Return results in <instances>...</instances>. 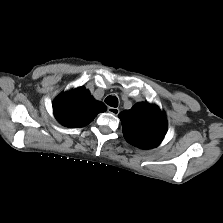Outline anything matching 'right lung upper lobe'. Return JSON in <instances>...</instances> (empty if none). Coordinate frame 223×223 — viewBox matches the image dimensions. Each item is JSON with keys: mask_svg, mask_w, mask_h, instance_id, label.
I'll use <instances>...</instances> for the list:
<instances>
[{"mask_svg": "<svg viewBox=\"0 0 223 223\" xmlns=\"http://www.w3.org/2000/svg\"><path fill=\"white\" fill-rule=\"evenodd\" d=\"M106 110L102 102L93 99L84 87L61 94L53 103V111L57 120L67 127H84L98 113Z\"/></svg>", "mask_w": 223, "mask_h": 223, "instance_id": "right-lung-upper-lobe-1", "label": "right lung upper lobe"}]
</instances>
